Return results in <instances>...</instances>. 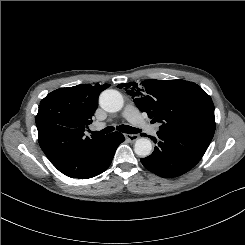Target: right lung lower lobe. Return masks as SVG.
<instances>
[{
	"label": "right lung lower lobe",
	"mask_w": 245,
	"mask_h": 245,
	"mask_svg": "<svg viewBox=\"0 0 245 245\" xmlns=\"http://www.w3.org/2000/svg\"><path fill=\"white\" fill-rule=\"evenodd\" d=\"M124 139L123 134L119 132L106 135L104 142L93 156L89 165L67 176L71 178L88 179L101 174L110 166L117 147Z\"/></svg>",
	"instance_id": "98d812e1"
}]
</instances>
